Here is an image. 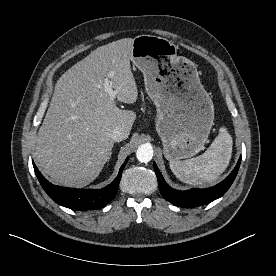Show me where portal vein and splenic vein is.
I'll list each match as a JSON object with an SVG mask.
<instances>
[{"mask_svg": "<svg viewBox=\"0 0 276 276\" xmlns=\"http://www.w3.org/2000/svg\"><path fill=\"white\" fill-rule=\"evenodd\" d=\"M113 77V73L109 74L107 78L104 80L103 87L105 91L108 93L111 99H115L117 92L113 90L112 85L110 83V79Z\"/></svg>", "mask_w": 276, "mask_h": 276, "instance_id": "portal-vein-and-splenic-vein-1", "label": "portal vein and splenic vein"}]
</instances>
